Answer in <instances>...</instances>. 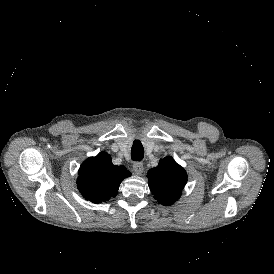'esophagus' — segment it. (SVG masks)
Instances as JSON below:
<instances>
[{"instance_id": "esophagus-1", "label": "esophagus", "mask_w": 274, "mask_h": 274, "mask_svg": "<svg viewBox=\"0 0 274 274\" xmlns=\"http://www.w3.org/2000/svg\"><path fill=\"white\" fill-rule=\"evenodd\" d=\"M132 168H133V171L138 175H141L144 171V166L142 162L133 163Z\"/></svg>"}]
</instances>
